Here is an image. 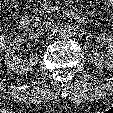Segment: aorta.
<instances>
[{"label": "aorta", "instance_id": "762f6f07", "mask_svg": "<svg viewBox=\"0 0 113 113\" xmlns=\"http://www.w3.org/2000/svg\"><path fill=\"white\" fill-rule=\"evenodd\" d=\"M76 33V27L75 25L65 22L61 25L59 29V36L62 39H70L72 38Z\"/></svg>", "mask_w": 113, "mask_h": 113}]
</instances>
